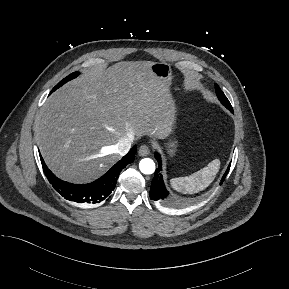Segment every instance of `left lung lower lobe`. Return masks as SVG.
<instances>
[{"instance_id": "left-lung-lower-lobe-1", "label": "left lung lower lobe", "mask_w": 289, "mask_h": 289, "mask_svg": "<svg viewBox=\"0 0 289 289\" xmlns=\"http://www.w3.org/2000/svg\"><path fill=\"white\" fill-rule=\"evenodd\" d=\"M224 106L226 108H228L233 113V109H232L231 104L226 103V105H224ZM155 157L158 161L159 168L156 169L155 174H154V178H153L152 183H151L150 198L154 201H160L162 203L168 204L167 199H168L169 192L166 190V187H165L164 182H163V176L160 173V171L162 170L161 158L157 152L155 153ZM229 168H230V164H229L225 174L223 175V177L221 179L220 185L224 182V180L228 174Z\"/></svg>"}]
</instances>
